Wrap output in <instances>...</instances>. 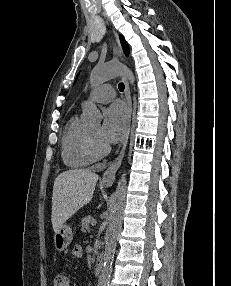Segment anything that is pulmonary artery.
<instances>
[{
  "label": "pulmonary artery",
  "mask_w": 231,
  "mask_h": 286,
  "mask_svg": "<svg viewBox=\"0 0 231 286\" xmlns=\"http://www.w3.org/2000/svg\"><path fill=\"white\" fill-rule=\"evenodd\" d=\"M90 97L97 103H108L114 99L115 90L110 84H104L97 87Z\"/></svg>",
  "instance_id": "e3ab8cb5"
}]
</instances>
